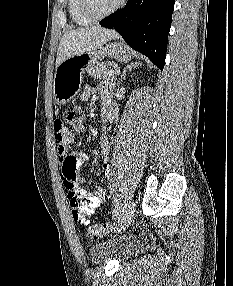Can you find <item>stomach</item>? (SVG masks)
<instances>
[{"instance_id":"stomach-1","label":"stomach","mask_w":233,"mask_h":286,"mask_svg":"<svg viewBox=\"0 0 233 286\" xmlns=\"http://www.w3.org/2000/svg\"><path fill=\"white\" fill-rule=\"evenodd\" d=\"M111 57L121 62L131 60L130 52L118 42L102 45L99 50L73 55L61 62L55 70L53 98L61 106L69 102L81 89L85 71L97 64L102 57Z\"/></svg>"}]
</instances>
